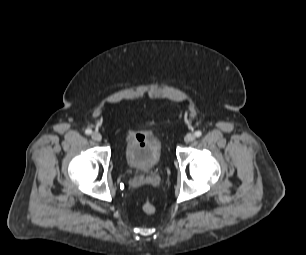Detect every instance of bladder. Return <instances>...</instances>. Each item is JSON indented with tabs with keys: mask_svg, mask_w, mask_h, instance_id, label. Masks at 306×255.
Here are the masks:
<instances>
[{
	"mask_svg": "<svg viewBox=\"0 0 306 255\" xmlns=\"http://www.w3.org/2000/svg\"><path fill=\"white\" fill-rule=\"evenodd\" d=\"M161 140L153 132L144 134L142 140L130 138L125 143V158L130 169L140 173L154 171L161 161Z\"/></svg>",
	"mask_w": 306,
	"mask_h": 255,
	"instance_id": "bladder-1",
	"label": "bladder"
}]
</instances>
